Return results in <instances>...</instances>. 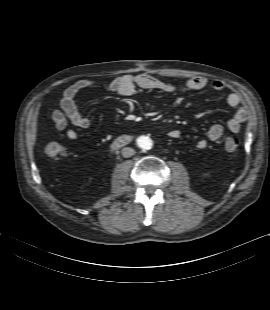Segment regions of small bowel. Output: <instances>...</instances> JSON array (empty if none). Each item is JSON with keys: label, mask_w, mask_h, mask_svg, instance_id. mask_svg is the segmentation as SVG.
<instances>
[{"label": "small bowel", "mask_w": 270, "mask_h": 310, "mask_svg": "<svg viewBox=\"0 0 270 310\" xmlns=\"http://www.w3.org/2000/svg\"><path fill=\"white\" fill-rule=\"evenodd\" d=\"M208 84L206 78L196 76L182 86H176L171 83L161 81L146 73H134L117 76L105 83H98L92 80H80L66 89L63 97L59 102L58 108L53 112L52 118L54 125L58 131L61 132V137L69 140H76L78 132L75 128L87 129L90 126V120L82 115L77 106V99L81 97L88 90H102L108 92H115L120 96H131L137 88L154 89L167 93L178 91H197L204 89ZM212 88L218 92L226 89V86L221 81H214ZM227 104L235 108V111L227 122L226 126L221 124L212 125L207 132V139L210 141L219 140L225 129L230 133H238L242 124L246 121L248 112L241 105V98L238 93L230 92L226 97ZM68 121L75 128H68ZM169 136L173 139H178L181 133L177 129L169 131ZM207 139H200L197 142V147L203 149L207 146Z\"/></svg>", "instance_id": "obj_1"}]
</instances>
